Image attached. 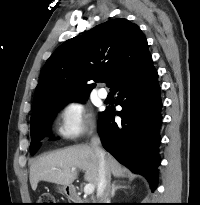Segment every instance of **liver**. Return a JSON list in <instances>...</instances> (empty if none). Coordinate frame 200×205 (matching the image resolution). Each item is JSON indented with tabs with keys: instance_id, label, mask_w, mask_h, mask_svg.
<instances>
[{
	"instance_id": "6515ba94",
	"label": "liver",
	"mask_w": 200,
	"mask_h": 205,
	"mask_svg": "<svg viewBox=\"0 0 200 205\" xmlns=\"http://www.w3.org/2000/svg\"><path fill=\"white\" fill-rule=\"evenodd\" d=\"M105 160L110 174L115 177L124 175L125 169L113 156L105 153ZM77 169L85 171L86 182L93 184L94 187L98 186L99 158L92 147L78 145L43 155L34 160L30 166L31 187L36 190L39 181L70 186L78 176Z\"/></svg>"
}]
</instances>
